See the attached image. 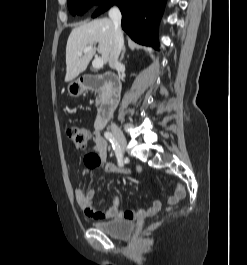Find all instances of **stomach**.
I'll return each instance as SVG.
<instances>
[{
	"label": "stomach",
	"instance_id": "stomach-1",
	"mask_svg": "<svg viewBox=\"0 0 247 265\" xmlns=\"http://www.w3.org/2000/svg\"><path fill=\"white\" fill-rule=\"evenodd\" d=\"M85 89L86 86L80 79L72 81L68 85V93L72 97L80 96L85 91Z\"/></svg>",
	"mask_w": 247,
	"mask_h": 265
}]
</instances>
